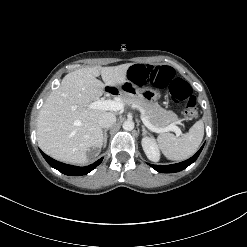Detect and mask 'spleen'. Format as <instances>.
I'll use <instances>...</instances> for the list:
<instances>
[{
	"instance_id": "1",
	"label": "spleen",
	"mask_w": 247,
	"mask_h": 247,
	"mask_svg": "<svg viewBox=\"0 0 247 247\" xmlns=\"http://www.w3.org/2000/svg\"><path fill=\"white\" fill-rule=\"evenodd\" d=\"M204 136V124L197 121L182 137L166 133L158 137L159 147L170 160L181 161L192 156L199 148Z\"/></svg>"
}]
</instances>
